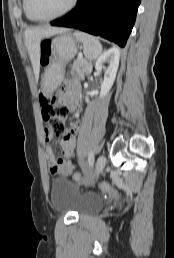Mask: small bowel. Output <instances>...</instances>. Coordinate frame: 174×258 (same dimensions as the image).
Segmentation results:
<instances>
[{"label":"small bowel","instance_id":"obj_1","mask_svg":"<svg viewBox=\"0 0 174 258\" xmlns=\"http://www.w3.org/2000/svg\"><path fill=\"white\" fill-rule=\"evenodd\" d=\"M78 92L79 84L76 81L69 83L65 96L63 98L64 104L68 107L70 111L76 112L78 109ZM80 128V123L76 122L72 124L64 136L62 142V152L66 157H73L75 155V135ZM52 138L50 132L45 129V139L49 142ZM46 160L48 167L52 173L72 175L74 171V164L71 160H66L63 158H56L53 149L48 146L46 149Z\"/></svg>","mask_w":174,"mask_h":258}]
</instances>
